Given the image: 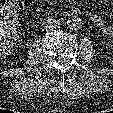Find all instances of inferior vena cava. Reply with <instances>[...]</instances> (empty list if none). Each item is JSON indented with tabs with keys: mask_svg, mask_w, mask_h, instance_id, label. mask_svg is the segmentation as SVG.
I'll use <instances>...</instances> for the list:
<instances>
[{
	"mask_svg": "<svg viewBox=\"0 0 113 113\" xmlns=\"http://www.w3.org/2000/svg\"><path fill=\"white\" fill-rule=\"evenodd\" d=\"M43 26L46 30H54L60 27V20L54 18V17H48L44 23Z\"/></svg>",
	"mask_w": 113,
	"mask_h": 113,
	"instance_id": "inferior-vena-cava-1",
	"label": "inferior vena cava"
}]
</instances>
